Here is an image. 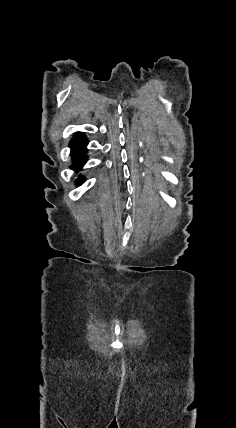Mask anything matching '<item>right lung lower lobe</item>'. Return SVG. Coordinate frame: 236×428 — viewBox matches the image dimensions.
Returning <instances> with one entry per match:
<instances>
[{"label":"right lung lower lobe","instance_id":"1","mask_svg":"<svg viewBox=\"0 0 236 428\" xmlns=\"http://www.w3.org/2000/svg\"><path fill=\"white\" fill-rule=\"evenodd\" d=\"M88 141L86 137L80 133H77L70 142L71 147V156L73 160V168L78 170L80 169L87 161L86 158V145ZM78 183L81 184L83 178L80 177L77 179Z\"/></svg>","mask_w":236,"mask_h":428}]
</instances>
